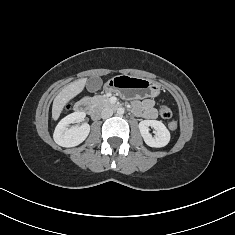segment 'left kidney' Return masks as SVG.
<instances>
[{"label": "left kidney", "mask_w": 235, "mask_h": 235, "mask_svg": "<svg viewBox=\"0 0 235 235\" xmlns=\"http://www.w3.org/2000/svg\"><path fill=\"white\" fill-rule=\"evenodd\" d=\"M149 127L154 128V137L149 133ZM139 130L145 143L150 147L161 148L170 141V132L161 121L143 120L139 123Z\"/></svg>", "instance_id": "left-kidney-1"}]
</instances>
